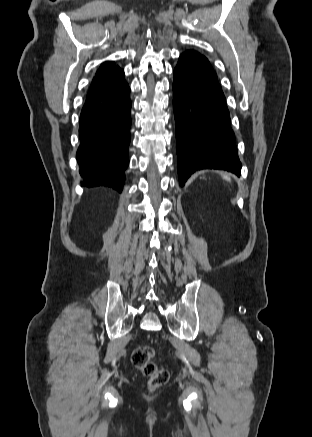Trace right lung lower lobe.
Returning a JSON list of instances; mask_svg holds the SVG:
<instances>
[{
    "instance_id": "right-lung-lower-lobe-1",
    "label": "right lung lower lobe",
    "mask_w": 312,
    "mask_h": 437,
    "mask_svg": "<svg viewBox=\"0 0 312 437\" xmlns=\"http://www.w3.org/2000/svg\"><path fill=\"white\" fill-rule=\"evenodd\" d=\"M130 88L124 73L109 85L87 95L80 116L77 151L82 186L112 187L119 192L130 143Z\"/></svg>"
}]
</instances>
